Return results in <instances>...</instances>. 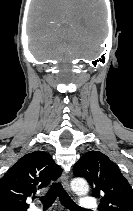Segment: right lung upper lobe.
Listing matches in <instances>:
<instances>
[{"label": "right lung upper lobe", "mask_w": 133, "mask_h": 211, "mask_svg": "<svg viewBox=\"0 0 133 211\" xmlns=\"http://www.w3.org/2000/svg\"><path fill=\"white\" fill-rule=\"evenodd\" d=\"M61 173V167L47 152L26 154L0 179V211H26V199Z\"/></svg>", "instance_id": "obj_1"}]
</instances>
